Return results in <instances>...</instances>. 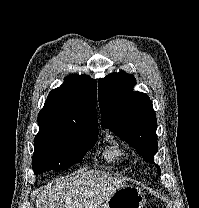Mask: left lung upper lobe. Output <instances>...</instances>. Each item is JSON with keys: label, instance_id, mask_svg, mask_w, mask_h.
<instances>
[{"label": "left lung upper lobe", "instance_id": "5c2ea615", "mask_svg": "<svg viewBox=\"0 0 199 208\" xmlns=\"http://www.w3.org/2000/svg\"><path fill=\"white\" fill-rule=\"evenodd\" d=\"M135 84L134 76L125 72L99 79L101 125L137 149L145 161L154 163L158 151L156 114L150 98L133 91Z\"/></svg>", "mask_w": 199, "mask_h": 208}]
</instances>
